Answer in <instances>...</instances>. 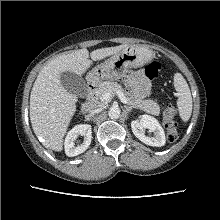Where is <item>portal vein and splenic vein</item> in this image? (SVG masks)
Here are the masks:
<instances>
[{"instance_id":"1","label":"portal vein and splenic vein","mask_w":220,"mask_h":220,"mask_svg":"<svg viewBox=\"0 0 220 220\" xmlns=\"http://www.w3.org/2000/svg\"><path fill=\"white\" fill-rule=\"evenodd\" d=\"M116 95L119 97V99L121 100L122 103L127 104V98L125 97V95L123 94V92L121 91H116ZM113 95L110 92H106L102 95L101 99L105 102H109L111 101Z\"/></svg>"}]
</instances>
